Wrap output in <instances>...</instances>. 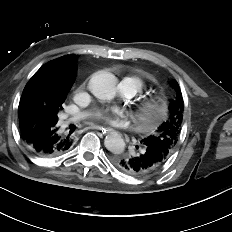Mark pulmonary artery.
<instances>
[{
  "label": "pulmonary artery",
  "instance_id": "pulmonary-artery-1",
  "mask_svg": "<svg viewBox=\"0 0 232 232\" xmlns=\"http://www.w3.org/2000/svg\"><path fill=\"white\" fill-rule=\"evenodd\" d=\"M120 91L125 96L132 97L139 91V88L132 80L124 78L120 82ZM83 117H84V114H79V115L72 117L68 122H75V121L80 120ZM68 122H64V126H66Z\"/></svg>",
  "mask_w": 232,
  "mask_h": 232
}]
</instances>
